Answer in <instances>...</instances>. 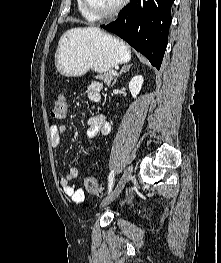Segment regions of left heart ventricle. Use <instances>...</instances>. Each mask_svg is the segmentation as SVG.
<instances>
[{"mask_svg":"<svg viewBox=\"0 0 221 263\" xmlns=\"http://www.w3.org/2000/svg\"><path fill=\"white\" fill-rule=\"evenodd\" d=\"M89 7L96 13H104L114 9L121 0H87Z\"/></svg>","mask_w":221,"mask_h":263,"instance_id":"b2bd125f","label":"left heart ventricle"}]
</instances>
